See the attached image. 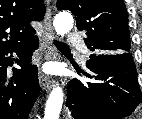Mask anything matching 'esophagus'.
Returning a JSON list of instances; mask_svg holds the SVG:
<instances>
[{
	"label": "esophagus",
	"mask_w": 142,
	"mask_h": 119,
	"mask_svg": "<svg viewBox=\"0 0 142 119\" xmlns=\"http://www.w3.org/2000/svg\"><path fill=\"white\" fill-rule=\"evenodd\" d=\"M53 41V27H52V13L51 9L48 8L43 21V32H42V46L44 60L54 58L56 53L52 44ZM39 84L44 90H50L54 87V81L42 73L39 75Z\"/></svg>",
	"instance_id": "34e87169"
}]
</instances>
